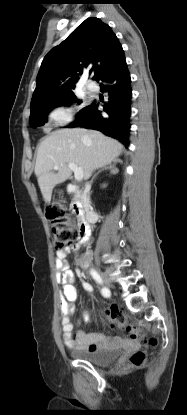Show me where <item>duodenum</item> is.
Here are the masks:
<instances>
[{"label":"duodenum","instance_id":"410a0bca","mask_svg":"<svg viewBox=\"0 0 187 415\" xmlns=\"http://www.w3.org/2000/svg\"><path fill=\"white\" fill-rule=\"evenodd\" d=\"M69 192L72 195L71 209L80 218L79 228L81 239L87 240L91 232V223L95 220V212L89 210L84 204L85 191L76 186H71Z\"/></svg>","mask_w":187,"mask_h":415}]
</instances>
